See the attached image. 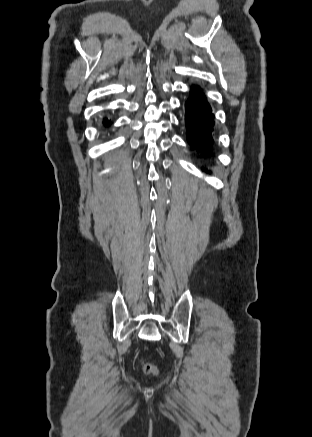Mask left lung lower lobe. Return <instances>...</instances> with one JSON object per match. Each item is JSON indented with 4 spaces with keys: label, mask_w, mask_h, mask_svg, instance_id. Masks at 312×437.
<instances>
[{
    "label": "left lung lower lobe",
    "mask_w": 312,
    "mask_h": 437,
    "mask_svg": "<svg viewBox=\"0 0 312 437\" xmlns=\"http://www.w3.org/2000/svg\"><path fill=\"white\" fill-rule=\"evenodd\" d=\"M185 106L188 141L193 148L206 154L209 152V145L213 142L214 115L210 105L199 88H192L191 96Z\"/></svg>",
    "instance_id": "0a47b994"
}]
</instances>
